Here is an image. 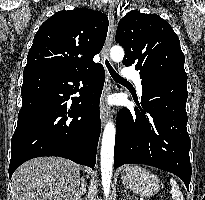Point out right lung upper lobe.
<instances>
[{
    "instance_id": "right-lung-upper-lobe-1",
    "label": "right lung upper lobe",
    "mask_w": 205,
    "mask_h": 200,
    "mask_svg": "<svg viewBox=\"0 0 205 200\" xmlns=\"http://www.w3.org/2000/svg\"><path fill=\"white\" fill-rule=\"evenodd\" d=\"M108 18L99 11L77 8L59 11L37 31L28 52L26 70L82 72L95 66L104 45Z\"/></svg>"
}]
</instances>
